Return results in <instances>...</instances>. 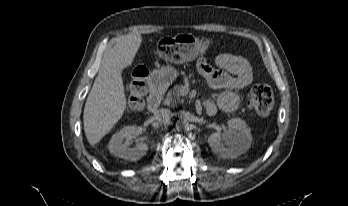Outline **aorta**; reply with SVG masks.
I'll list each match as a JSON object with an SVG mask.
<instances>
[{"instance_id": "obj_1", "label": "aorta", "mask_w": 348, "mask_h": 206, "mask_svg": "<svg viewBox=\"0 0 348 206\" xmlns=\"http://www.w3.org/2000/svg\"><path fill=\"white\" fill-rule=\"evenodd\" d=\"M177 128L188 130L189 129V123L186 120H180L176 124Z\"/></svg>"}]
</instances>
